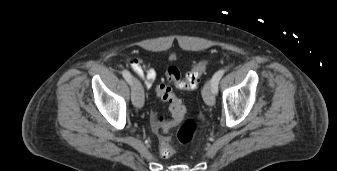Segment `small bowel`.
Instances as JSON below:
<instances>
[{"instance_id":"1","label":"small bowel","mask_w":337,"mask_h":171,"mask_svg":"<svg viewBox=\"0 0 337 171\" xmlns=\"http://www.w3.org/2000/svg\"><path fill=\"white\" fill-rule=\"evenodd\" d=\"M132 70L144 81L146 88H150L157 78L156 70L146 65L142 59L133 57L130 59Z\"/></svg>"}]
</instances>
